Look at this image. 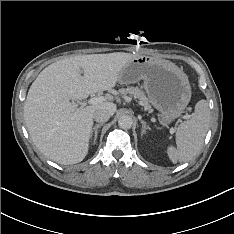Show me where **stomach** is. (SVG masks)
Returning <instances> with one entry per match:
<instances>
[{"label":"stomach","instance_id":"stomach-1","mask_svg":"<svg viewBox=\"0 0 234 234\" xmlns=\"http://www.w3.org/2000/svg\"><path fill=\"white\" fill-rule=\"evenodd\" d=\"M140 80L144 81L148 100L159 111V120L165 126L181 115L191 99L187 75L169 60L139 55L118 75L120 84Z\"/></svg>","mask_w":234,"mask_h":234}]
</instances>
